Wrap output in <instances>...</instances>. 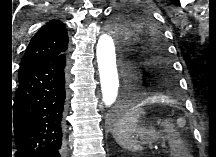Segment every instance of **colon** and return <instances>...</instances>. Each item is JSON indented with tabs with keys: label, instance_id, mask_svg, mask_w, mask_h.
I'll return each mask as SVG.
<instances>
[{
	"label": "colon",
	"instance_id": "5ec220e1",
	"mask_svg": "<svg viewBox=\"0 0 216 157\" xmlns=\"http://www.w3.org/2000/svg\"><path fill=\"white\" fill-rule=\"evenodd\" d=\"M180 124H181V123L178 121V122H177V125H180ZM167 127H168V128H172V127H173V123H168V124H167Z\"/></svg>",
	"mask_w": 216,
	"mask_h": 157
}]
</instances>
